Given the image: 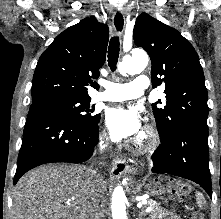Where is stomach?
<instances>
[{"mask_svg": "<svg viewBox=\"0 0 221 219\" xmlns=\"http://www.w3.org/2000/svg\"><path fill=\"white\" fill-rule=\"evenodd\" d=\"M164 183H177L176 188L172 190V186ZM178 178H165V177H157L154 178L150 184L146 185V190L151 195L152 199H173L174 195H178L180 192Z\"/></svg>", "mask_w": 221, "mask_h": 219, "instance_id": "0dacf381", "label": "stomach"}]
</instances>
